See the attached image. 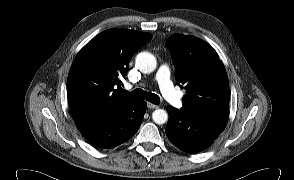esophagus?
<instances>
[{"label":"esophagus","mask_w":294,"mask_h":180,"mask_svg":"<svg viewBox=\"0 0 294 180\" xmlns=\"http://www.w3.org/2000/svg\"><path fill=\"white\" fill-rule=\"evenodd\" d=\"M147 106L150 109H157L159 107L158 105H155V104H152V103H147Z\"/></svg>","instance_id":"obj_1"}]
</instances>
